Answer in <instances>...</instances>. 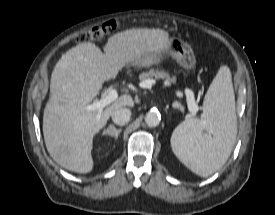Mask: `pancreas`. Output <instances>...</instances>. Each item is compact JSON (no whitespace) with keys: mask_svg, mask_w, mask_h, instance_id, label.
<instances>
[{"mask_svg":"<svg viewBox=\"0 0 275 215\" xmlns=\"http://www.w3.org/2000/svg\"><path fill=\"white\" fill-rule=\"evenodd\" d=\"M152 78L169 80L171 82H175V80H176L175 77H170V75L167 72L163 71V70H161V71H159V70H156V71L150 70L148 72H143L139 76V79H140L141 82H145V81L150 80Z\"/></svg>","mask_w":275,"mask_h":215,"instance_id":"pancreas-1","label":"pancreas"}]
</instances>
